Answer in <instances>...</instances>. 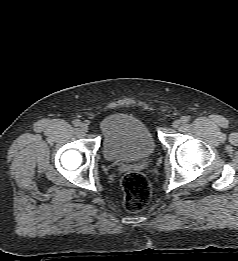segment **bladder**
Wrapping results in <instances>:
<instances>
[{"instance_id": "obj_1", "label": "bladder", "mask_w": 238, "mask_h": 261, "mask_svg": "<svg viewBox=\"0 0 238 261\" xmlns=\"http://www.w3.org/2000/svg\"><path fill=\"white\" fill-rule=\"evenodd\" d=\"M102 153L110 162H130L151 156L156 149L153 134L139 118L127 113H114L100 124Z\"/></svg>"}]
</instances>
